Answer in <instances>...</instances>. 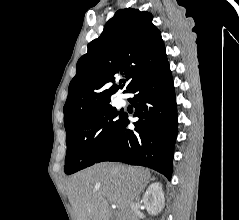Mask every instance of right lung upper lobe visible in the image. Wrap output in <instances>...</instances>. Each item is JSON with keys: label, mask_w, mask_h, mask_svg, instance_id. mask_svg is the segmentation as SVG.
<instances>
[{"label": "right lung upper lobe", "mask_w": 239, "mask_h": 220, "mask_svg": "<svg viewBox=\"0 0 239 220\" xmlns=\"http://www.w3.org/2000/svg\"><path fill=\"white\" fill-rule=\"evenodd\" d=\"M152 19L147 11L118 10L100 37L88 44L87 53L77 62L63 108L66 130L85 114L110 105L111 95L119 89L117 85L108 87L115 82V75H125L124 92H128L140 78L167 60L161 33Z\"/></svg>", "instance_id": "right-lung-upper-lobe-1"}]
</instances>
